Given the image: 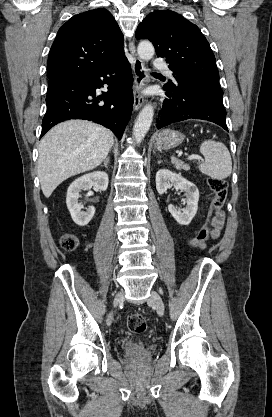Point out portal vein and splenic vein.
I'll return each mask as SVG.
<instances>
[{"instance_id": "portal-vein-and-splenic-vein-1", "label": "portal vein and splenic vein", "mask_w": 272, "mask_h": 417, "mask_svg": "<svg viewBox=\"0 0 272 417\" xmlns=\"http://www.w3.org/2000/svg\"><path fill=\"white\" fill-rule=\"evenodd\" d=\"M188 159L192 160V159H196L198 161L203 160L201 156L195 155V154H191L189 155Z\"/></svg>"}]
</instances>
